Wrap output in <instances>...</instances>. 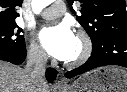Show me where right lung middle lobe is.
I'll list each match as a JSON object with an SVG mask.
<instances>
[{
  "label": "right lung middle lobe",
  "instance_id": "right-lung-middle-lobe-1",
  "mask_svg": "<svg viewBox=\"0 0 127 92\" xmlns=\"http://www.w3.org/2000/svg\"><path fill=\"white\" fill-rule=\"evenodd\" d=\"M23 30L16 23L0 24V45H8L13 48H25Z\"/></svg>",
  "mask_w": 127,
  "mask_h": 92
}]
</instances>
